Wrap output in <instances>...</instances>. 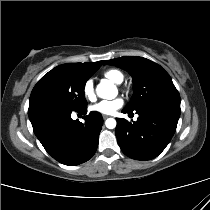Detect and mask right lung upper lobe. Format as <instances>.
I'll return each instance as SVG.
<instances>
[{"instance_id": "obj_1", "label": "right lung upper lobe", "mask_w": 210, "mask_h": 210, "mask_svg": "<svg viewBox=\"0 0 210 210\" xmlns=\"http://www.w3.org/2000/svg\"><path fill=\"white\" fill-rule=\"evenodd\" d=\"M104 63V61L99 62H93V63H67L62 64L60 66L69 67L74 70L83 71L91 67L101 66Z\"/></svg>"}]
</instances>
